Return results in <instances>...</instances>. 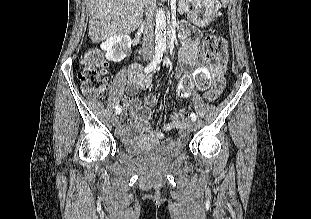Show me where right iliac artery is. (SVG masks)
<instances>
[{
	"mask_svg": "<svg viewBox=\"0 0 311 219\" xmlns=\"http://www.w3.org/2000/svg\"><path fill=\"white\" fill-rule=\"evenodd\" d=\"M162 56H163V50L162 49H157L155 51V56L153 58V60L145 67V72H151L153 69L156 68V66L161 62L162 60ZM116 114H120L121 113V106H116V110H115Z\"/></svg>",
	"mask_w": 311,
	"mask_h": 219,
	"instance_id": "1",
	"label": "right iliac artery"
}]
</instances>
